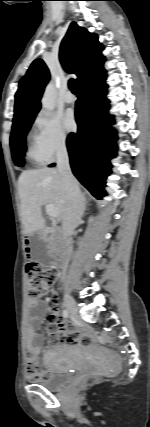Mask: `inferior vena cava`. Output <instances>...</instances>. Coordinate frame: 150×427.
I'll return each instance as SVG.
<instances>
[{"instance_id": "1", "label": "inferior vena cava", "mask_w": 150, "mask_h": 427, "mask_svg": "<svg viewBox=\"0 0 150 427\" xmlns=\"http://www.w3.org/2000/svg\"><path fill=\"white\" fill-rule=\"evenodd\" d=\"M57 168L60 172L66 191V209L63 217V233L71 236L79 224L84 212L83 195L80 192L78 182L73 176L69 164L67 148L64 142L57 147Z\"/></svg>"}]
</instances>
